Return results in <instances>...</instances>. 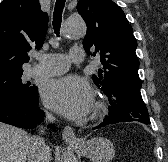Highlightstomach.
<instances>
[{
    "label": "stomach",
    "instance_id": "obj_1",
    "mask_svg": "<svg viewBox=\"0 0 168 162\" xmlns=\"http://www.w3.org/2000/svg\"><path fill=\"white\" fill-rule=\"evenodd\" d=\"M78 150L92 162H109L115 154L114 146L110 140L102 137L84 142Z\"/></svg>",
    "mask_w": 168,
    "mask_h": 162
}]
</instances>
